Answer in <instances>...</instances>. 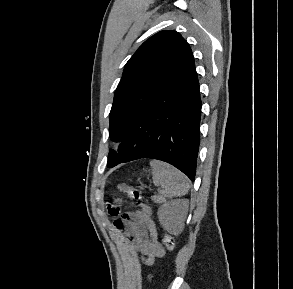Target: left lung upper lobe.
<instances>
[{"mask_svg":"<svg viewBox=\"0 0 293 289\" xmlns=\"http://www.w3.org/2000/svg\"><path fill=\"white\" fill-rule=\"evenodd\" d=\"M194 66L189 44L175 31H160L147 39L126 63L110 111L109 135L121 141L140 115L157 101L188 69ZM125 159L111 150L107 166Z\"/></svg>","mask_w":293,"mask_h":289,"instance_id":"obj_1","label":"left lung upper lobe"}]
</instances>
